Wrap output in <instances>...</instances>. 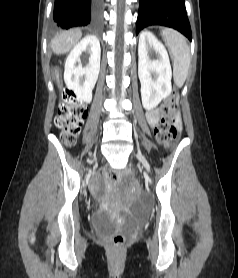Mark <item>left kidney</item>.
<instances>
[{"label":"left kidney","mask_w":238,"mask_h":278,"mask_svg":"<svg viewBox=\"0 0 238 278\" xmlns=\"http://www.w3.org/2000/svg\"><path fill=\"white\" fill-rule=\"evenodd\" d=\"M155 56V59H151ZM152 74L155 78H152ZM138 76L143 107L152 110L171 94L172 70L166 48L151 33L140 35L138 45Z\"/></svg>","instance_id":"1"}]
</instances>
